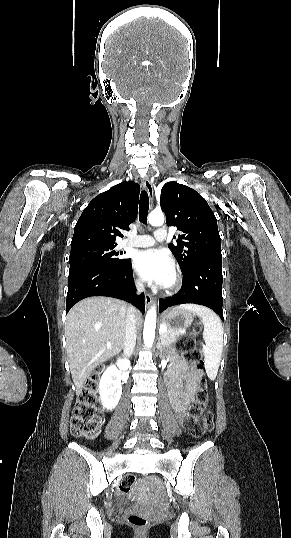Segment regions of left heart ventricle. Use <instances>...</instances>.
<instances>
[{"label": "left heart ventricle", "mask_w": 291, "mask_h": 538, "mask_svg": "<svg viewBox=\"0 0 291 538\" xmlns=\"http://www.w3.org/2000/svg\"><path fill=\"white\" fill-rule=\"evenodd\" d=\"M172 277L169 279L168 283L171 281Z\"/></svg>", "instance_id": "obj_1"}]
</instances>
